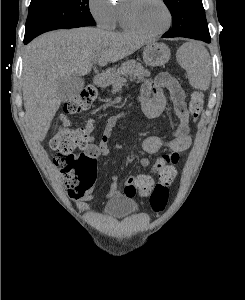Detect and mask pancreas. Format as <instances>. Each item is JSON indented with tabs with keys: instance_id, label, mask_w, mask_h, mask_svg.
<instances>
[{
	"instance_id": "1",
	"label": "pancreas",
	"mask_w": 245,
	"mask_h": 300,
	"mask_svg": "<svg viewBox=\"0 0 245 300\" xmlns=\"http://www.w3.org/2000/svg\"><path fill=\"white\" fill-rule=\"evenodd\" d=\"M150 72L144 67L136 63L134 60L127 61L114 73L112 87L113 91L118 92L121 90L124 83L129 80H142L145 77H149Z\"/></svg>"
}]
</instances>
